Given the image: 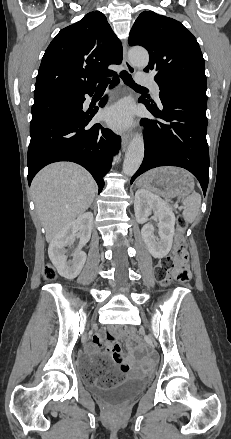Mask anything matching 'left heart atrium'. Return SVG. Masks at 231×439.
<instances>
[{"label":"left heart atrium","mask_w":231,"mask_h":439,"mask_svg":"<svg viewBox=\"0 0 231 439\" xmlns=\"http://www.w3.org/2000/svg\"><path fill=\"white\" fill-rule=\"evenodd\" d=\"M103 119L111 128L127 129L133 123L132 108L127 102H118L104 111Z\"/></svg>","instance_id":"1"}]
</instances>
